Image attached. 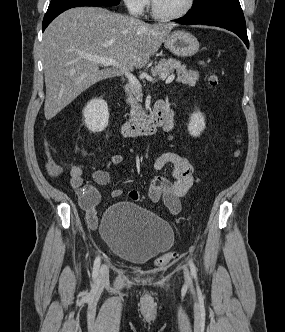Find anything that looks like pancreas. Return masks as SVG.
I'll list each match as a JSON object with an SVG mask.
<instances>
[{
    "mask_svg": "<svg viewBox=\"0 0 285 332\" xmlns=\"http://www.w3.org/2000/svg\"><path fill=\"white\" fill-rule=\"evenodd\" d=\"M176 70L177 72V81L183 84L194 86L196 81L199 79V73L197 71L187 70L185 65H182L180 61L175 59H162L159 63L152 69L153 74L166 76L169 75L172 71ZM126 91L132 94L134 97L129 101L131 103V113H130V122L136 123L142 119L144 112L141 108L139 102L142 100V94L136 87L128 86Z\"/></svg>",
    "mask_w": 285,
    "mask_h": 332,
    "instance_id": "cf45deb5",
    "label": "pancreas"
}]
</instances>
